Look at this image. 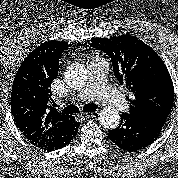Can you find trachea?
I'll return each mask as SVG.
<instances>
[{"label":"trachea","mask_w":178,"mask_h":178,"mask_svg":"<svg viewBox=\"0 0 178 178\" xmlns=\"http://www.w3.org/2000/svg\"><path fill=\"white\" fill-rule=\"evenodd\" d=\"M97 108H98V106L96 104H86L83 107V110L85 112H94V111H96ZM62 112L66 113V114H76V113H79L80 110L76 105H68L67 107L62 109Z\"/></svg>","instance_id":"trachea-1"}]
</instances>
